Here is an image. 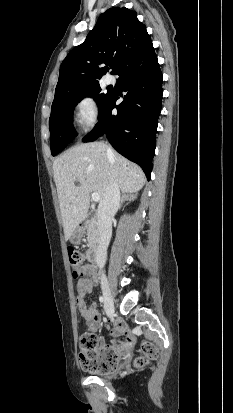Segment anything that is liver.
Masks as SVG:
<instances>
[{
    "instance_id": "obj_1",
    "label": "liver",
    "mask_w": 233,
    "mask_h": 413,
    "mask_svg": "<svg viewBox=\"0 0 233 413\" xmlns=\"http://www.w3.org/2000/svg\"><path fill=\"white\" fill-rule=\"evenodd\" d=\"M107 148L102 142L79 144L53 162L66 241L85 219L90 193H98L100 202L103 200L111 175L119 189L126 193L138 192L145 183V175L138 165L117 152H113V157L109 158Z\"/></svg>"
}]
</instances>
